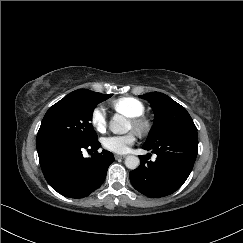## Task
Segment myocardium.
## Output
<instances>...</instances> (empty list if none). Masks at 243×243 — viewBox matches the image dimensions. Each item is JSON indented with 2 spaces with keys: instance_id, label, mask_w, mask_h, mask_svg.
<instances>
[{
  "instance_id": "1",
  "label": "myocardium",
  "mask_w": 243,
  "mask_h": 243,
  "mask_svg": "<svg viewBox=\"0 0 243 243\" xmlns=\"http://www.w3.org/2000/svg\"><path fill=\"white\" fill-rule=\"evenodd\" d=\"M130 123L132 124V128L136 132V134L141 137L145 136L149 131L148 121L140 116L131 117Z\"/></svg>"
}]
</instances>
